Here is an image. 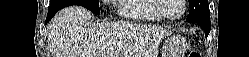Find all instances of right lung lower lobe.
Returning a JSON list of instances; mask_svg holds the SVG:
<instances>
[{
	"instance_id": "98d812e1",
	"label": "right lung lower lobe",
	"mask_w": 249,
	"mask_h": 57,
	"mask_svg": "<svg viewBox=\"0 0 249 57\" xmlns=\"http://www.w3.org/2000/svg\"><path fill=\"white\" fill-rule=\"evenodd\" d=\"M58 10H60V9L59 8H49V12H48L45 23L49 22Z\"/></svg>"
}]
</instances>
